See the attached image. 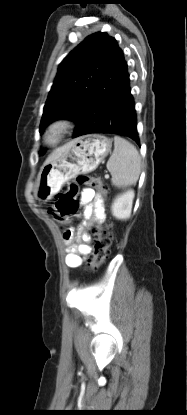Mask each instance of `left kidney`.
<instances>
[{
    "mask_svg": "<svg viewBox=\"0 0 187 415\" xmlns=\"http://www.w3.org/2000/svg\"><path fill=\"white\" fill-rule=\"evenodd\" d=\"M134 195L133 190H128L115 198L111 207L115 218L126 220L130 217Z\"/></svg>",
    "mask_w": 187,
    "mask_h": 415,
    "instance_id": "1",
    "label": "left kidney"
}]
</instances>
